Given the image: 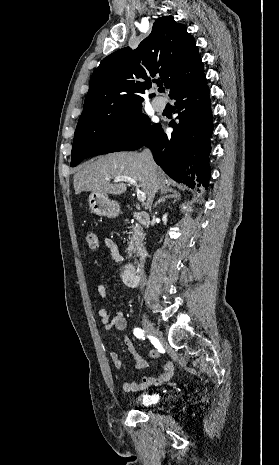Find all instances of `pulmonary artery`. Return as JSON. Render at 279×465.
Returning a JSON list of instances; mask_svg holds the SVG:
<instances>
[{"label": "pulmonary artery", "instance_id": "obj_1", "mask_svg": "<svg viewBox=\"0 0 279 465\" xmlns=\"http://www.w3.org/2000/svg\"><path fill=\"white\" fill-rule=\"evenodd\" d=\"M153 106H154L155 110L161 112L166 107V101L164 99L160 98V97H156L153 100Z\"/></svg>", "mask_w": 279, "mask_h": 465}]
</instances>
